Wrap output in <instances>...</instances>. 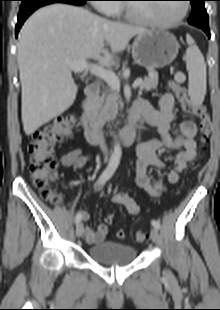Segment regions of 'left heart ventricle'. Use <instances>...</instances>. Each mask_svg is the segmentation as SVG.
<instances>
[{
  "instance_id": "obj_1",
  "label": "left heart ventricle",
  "mask_w": 220,
  "mask_h": 310,
  "mask_svg": "<svg viewBox=\"0 0 220 310\" xmlns=\"http://www.w3.org/2000/svg\"><path fill=\"white\" fill-rule=\"evenodd\" d=\"M136 15L156 21H169L177 17L182 10V3L133 4Z\"/></svg>"
}]
</instances>
